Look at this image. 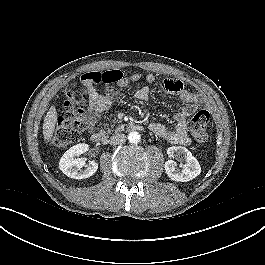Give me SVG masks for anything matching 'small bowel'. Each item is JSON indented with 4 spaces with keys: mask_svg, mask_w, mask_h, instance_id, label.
Masks as SVG:
<instances>
[{
    "mask_svg": "<svg viewBox=\"0 0 265 265\" xmlns=\"http://www.w3.org/2000/svg\"><path fill=\"white\" fill-rule=\"evenodd\" d=\"M118 71L114 70L113 72ZM91 73H86L81 77V82L85 87V95L87 99V113L85 122L89 129L94 127L97 116L108 110L114 101L117 92L115 88L107 86L104 93H100L91 78ZM144 79L147 83H153L155 76L151 73H133L124 76L120 71L116 73V83L119 87H126L132 82H137ZM102 84L109 85L111 83ZM162 92L166 94L176 95L184 103V108L175 115V127L169 129L161 123H151L150 130L160 138L167 140L170 143L179 145H188L190 139L188 137V119L199 108L198 97L187 90L180 81L165 80L161 84ZM150 96V89L148 86H142L135 92V98L140 101H146Z\"/></svg>",
    "mask_w": 265,
    "mask_h": 265,
    "instance_id": "c3829d8e",
    "label": "small bowel"
}]
</instances>
